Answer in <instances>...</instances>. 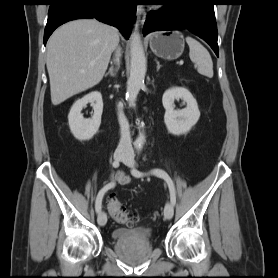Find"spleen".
<instances>
[{"label": "spleen", "instance_id": "1", "mask_svg": "<svg viewBox=\"0 0 278 278\" xmlns=\"http://www.w3.org/2000/svg\"><path fill=\"white\" fill-rule=\"evenodd\" d=\"M186 42L189 45V56L193 63L196 64L197 71L201 75L213 77V62L207 49L192 37H186Z\"/></svg>", "mask_w": 278, "mask_h": 278}]
</instances>
